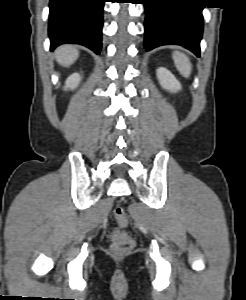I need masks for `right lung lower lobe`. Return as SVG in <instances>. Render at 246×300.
<instances>
[{
    "label": "right lung lower lobe",
    "mask_w": 246,
    "mask_h": 300,
    "mask_svg": "<svg viewBox=\"0 0 246 300\" xmlns=\"http://www.w3.org/2000/svg\"><path fill=\"white\" fill-rule=\"evenodd\" d=\"M104 1L50 0L49 38L51 50L63 43H76L99 54Z\"/></svg>",
    "instance_id": "98d812e1"
}]
</instances>
